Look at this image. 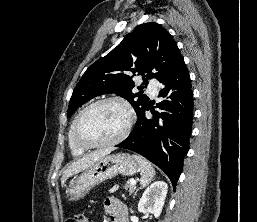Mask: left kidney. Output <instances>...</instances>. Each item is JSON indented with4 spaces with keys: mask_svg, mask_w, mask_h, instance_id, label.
Returning <instances> with one entry per match:
<instances>
[{
    "mask_svg": "<svg viewBox=\"0 0 257 222\" xmlns=\"http://www.w3.org/2000/svg\"><path fill=\"white\" fill-rule=\"evenodd\" d=\"M168 185L164 181H155L144 191L139 203L138 211L154 214L158 218L165 203Z\"/></svg>",
    "mask_w": 257,
    "mask_h": 222,
    "instance_id": "5707ae66",
    "label": "left kidney"
}]
</instances>
